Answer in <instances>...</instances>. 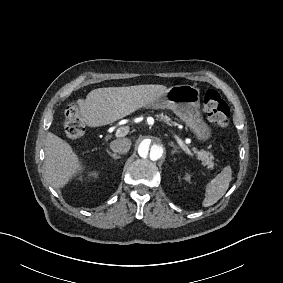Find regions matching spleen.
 Wrapping results in <instances>:
<instances>
[{
  "label": "spleen",
  "mask_w": 283,
  "mask_h": 283,
  "mask_svg": "<svg viewBox=\"0 0 283 283\" xmlns=\"http://www.w3.org/2000/svg\"><path fill=\"white\" fill-rule=\"evenodd\" d=\"M231 179L232 168L230 165H226L222 172L206 185L205 198L201 203L202 207H210L221 199L228 190Z\"/></svg>",
  "instance_id": "obj_1"
}]
</instances>
